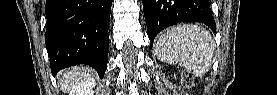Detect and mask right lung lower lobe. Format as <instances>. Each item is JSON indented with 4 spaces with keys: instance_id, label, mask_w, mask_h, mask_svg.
<instances>
[{
    "instance_id": "obj_1",
    "label": "right lung lower lobe",
    "mask_w": 277,
    "mask_h": 95,
    "mask_svg": "<svg viewBox=\"0 0 277 95\" xmlns=\"http://www.w3.org/2000/svg\"><path fill=\"white\" fill-rule=\"evenodd\" d=\"M111 0H47L46 46L52 74L88 64L103 77L107 69Z\"/></svg>"
}]
</instances>
